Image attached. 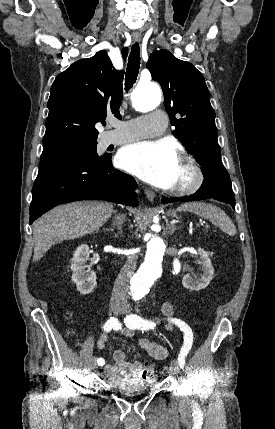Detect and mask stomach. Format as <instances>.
I'll use <instances>...</instances> for the list:
<instances>
[{"instance_id":"1","label":"stomach","mask_w":275,"mask_h":429,"mask_svg":"<svg viewBox=\"0 0 275 429\" xmlns=\"http://www.w3.org/2000/svg\"><path fill=\"white\" fill-rule=\"evenodd\" d=\"M168 214L171 215V216H173V217L176 216L175 212H173V211L168 212Z\"/></svg>"}]
</instances>
